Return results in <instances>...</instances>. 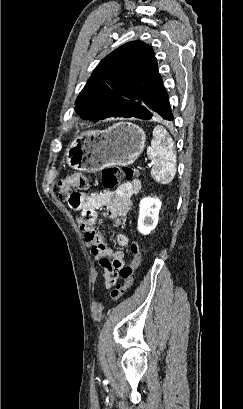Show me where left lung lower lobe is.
I'll return each instance as SVG.
<instances>
[{
  "label": "left lung lower lobe",
  "mask_w": 243,
  "mask_h": 409,
  "mask_svg": "<svg viewBox=\"0 0 243 409\" xmlns=\"http://www.w3.org/2000/svg\"><path fill=\"white\" fill-rule=\"evenodd\" d=\"M124 111L125 112L122 116L111 112L104 115L101 119L109 117H135L150 120L158 114L165 120H173V114L168 101V94L162 82L145 94L139 101L126 105Z\"/></svg>",
  "instance_id": "left-lung-lower-lobe-1"
}]
</instances>
